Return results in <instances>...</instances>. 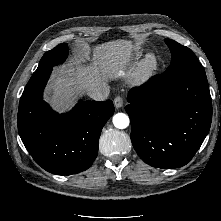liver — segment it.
<instances>
[{
    "mask_svg": "<svg viewBox=\"0 0 221 221\" xmlns=\"http://www.w3.org/2000/svg\"><path fill=\"white\" fill-rule=\"evenodd\" d=\"M130 52L129 41L117 40L96 46L92 65L75 61L54 71L47 99L59 111L68 109L77 93L107 86L108 78L128 62Z\"/></svg>",
    "mask_w": 221,
    "mask_h": 221,
    "instance_id": "obj_1",
    "label": "liver"
}]
</instances>
